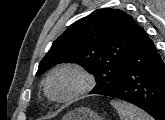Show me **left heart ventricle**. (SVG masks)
<instances>
[{"instance_id": "b2bd125f", "label": "left heart ventricle", "mask_w": 165, "mask_h": 120, "mask_svg": "<svg viewBox=\"0 0 165 120\" xmlns=\"http://www.w3.org/2000/svg\"><path fill=\"white\" fill-rule=\"evenodd\" d=\"M81 85V79L71 71L56 74L50 84L52 93L59 98L66 97L77 90Z\"/></svg>"}]
</instances>
